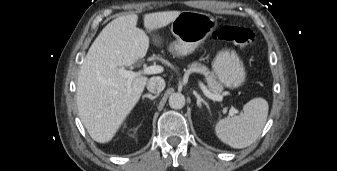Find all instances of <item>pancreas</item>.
<instances>
[{
    "instance_id": "cf45deb5",
    "label": "pancreas",
    "mask_w": 337,
    "mask_h": 171,
    "mask_svg": "<svg viewBox=\"0 0 337 171\" xmlns=\"http://www.w3.org/2000/svg\"><path fill=\"white\" fill-rule=\"evenodd\" d=\"M189 68L194 72L204 75L208 88L213 94L220 95L222 93L223 86L216 80L212 72H210L206 66L194 62L189 66Z\"/></svg>"
}]
</instances>
